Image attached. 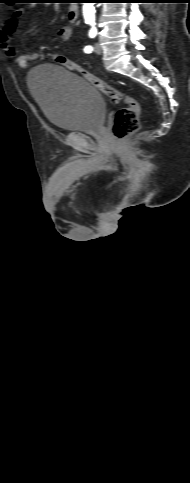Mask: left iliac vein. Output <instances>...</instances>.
Segmentation results:
<instances>
[{
    "mask_svg": "<svg viewBox=\"0 0 190 483\" xmlns=\"http://www.w3.org/2000/svg\"><path fill=\"white\" fill-rule=\"evenodd\" d=\"M94 51L95 53L97 54H102V47L99 43H96L95 46H94Z\"/></svg>",
    "mask_w": 190,
    "mask_h": 483,
    "instance_id": "left-iliac-vein-1",
    "label": "left iliac vein"
}]
</instances>
